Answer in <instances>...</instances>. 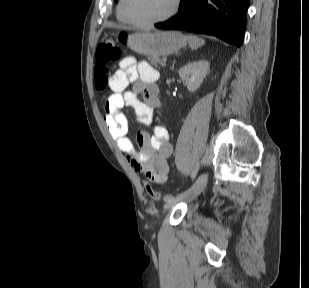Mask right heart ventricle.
Returning <instances> with one entry per match:
<instances>
[{"label": "right heart ventricle", "mask_w": 309, "mask_h": 288, "mask_svg": "<svg viewBox=\"0 0 309 288\" xmlns=\"http://www.w3.org/2000/svg\"><path fill=\"white\" fill-rule=\"evenodd\" d=\"M121 3H122L121 0H119L117 7H116V16H117V19L119 20V22L126 24L127 22L125 21L123 15H122V12H121Z\"/></svg>", "instance_id": "e07e8e85"}]
</instances>
